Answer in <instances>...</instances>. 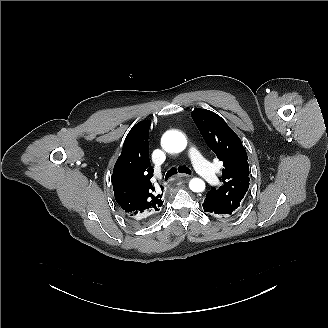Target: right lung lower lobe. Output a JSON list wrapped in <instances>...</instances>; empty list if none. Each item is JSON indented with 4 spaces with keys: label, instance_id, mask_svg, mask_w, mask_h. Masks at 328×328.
I'll return each mask as SVG.
<instances>
[{
    "label": "right lung lower lobe",
    "instance_id": "1",
    "mask_svg": "<svg viewBox=\"0 0 328 328\" xmlns=\"http://www.w3.org/2000/svg\"><path fill=\"white\" fill-rule=\"evenodd\" d=\"M125 217H126L127 219H129V220H131V221L135 222V221H134L135 219H132V218H131V217H129V216L125 215Z\"/></svg>",
    "mask_w": 328,
    "mask_h": 328
}]
</instances>
